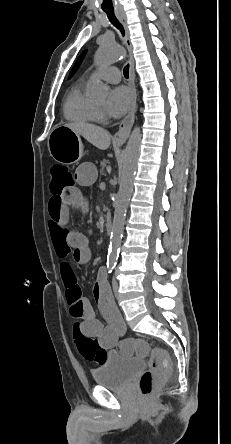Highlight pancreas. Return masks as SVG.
<instances>
[{
  "label": "pancreas",
  "mask_w": 231,
  "mask_h": 444,
  "mask_svg": "<svg viewBox=\"0 0 231 444\" xmlns=\"http://www.w3.org/2000/svg\"><path fill=\"white\" fill-rule=\"evenodd\" d=\"M110 162L108 160H103L100 162V172L104 173L105 169L109 168Z\"/></svg>",
  "instance_id": "obj_1"
}]
</instances>
